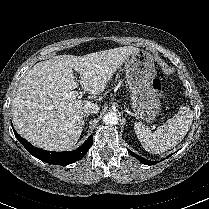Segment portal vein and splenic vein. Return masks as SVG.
I'll use <instances>...</instances> for the list:
<instances>
[{
    "instance_id": "obj_1",
    "label": "portal vein and splenic vein",
    "mask_w": 209,
    "mask_h": 209,
    "mask_svg": "<svg viewBox=\"0 0 209 209\" xmlns=\"http://www.w3.org/2000/svg\"><path fill=\"white\" fill-rule=\"evenodd\" d=\"M62 97L68 100H75L80 97V93L78 91H70L68 93H63Z\"/></svg>"
}]
</instances>
